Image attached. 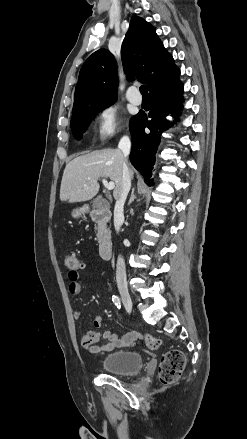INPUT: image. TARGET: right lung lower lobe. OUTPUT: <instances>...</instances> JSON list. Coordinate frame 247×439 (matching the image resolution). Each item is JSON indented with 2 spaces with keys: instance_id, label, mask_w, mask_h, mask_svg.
I'll return each mask as SVG.
<instances>
[{
  "instance_id": "98d812e1",
  "label": "right lung lower lobe",
  "mask_w": 247,
  "mask_h": 439,
  "mask_svg": "<svg viewBox=\"0 0 247 439\" xmlns=\"http://www.w3.org/2000/svg\"><path fill=\"white\" fill-rule=\"evenodd\" d=\"M183 84L179 82L155 91L150 95L151 109L147 115L138 113L130 122L132 136V151L130 161L143 175L145 182L152 185L151 171L155 162V154L160 142L161 133L168 128L169 122L165 119L168 114L179 116L183 102ZM148 128L150 132H146Z\"/></svg>"
}]
</instances>
